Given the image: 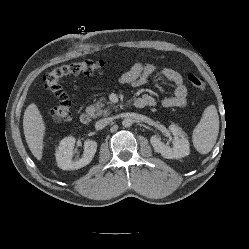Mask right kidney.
Wrapping results in <instances>:
<instances>
[{"label": "right kidney", "mask_w": 249, "mask_h": 249, "mask_svg": "<svg viewBox=\"0 0 249 249\" xmlns=\"http://www.w3.org/2000/svg\"><path fill=\"white\" fill-rule=\"evenodd\" d=\"M76 139L72 136L66 137L61 140L56 150V161L59 168L63 170H75L88 165L97 149V142L86 140L84 142V153L81 159L72 160L73 149Z\"/></svg>", "instance_id": "ca27d5eb"}]
</instances>
